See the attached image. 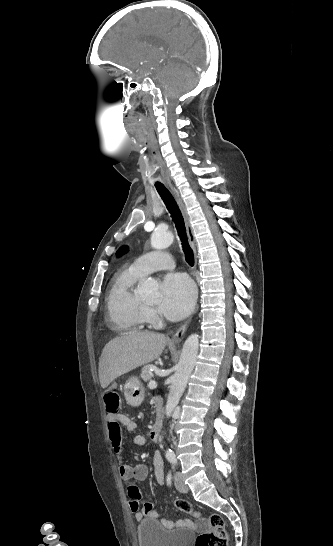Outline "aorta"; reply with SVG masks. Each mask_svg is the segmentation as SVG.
Listing matches in <instances>:
<instances>
[{"label":"aorta","mask_w":333,"mask_h":546,"mask_svg":"<svg viewBox=\"0 0 333 546\" xmlns=\"http://www.w3.org/2000/svg\"><path fill=\"white\" fill-rule=\"evenodd\" d=\"M174 236L168 230L156 229L151 236V245L154 249H165L173 242ZM146 289L149 295L157 297V286L154 279L146 280ZM199 347V338L197 334L190 335L182 348L180 360L176 366V371L172 376L170 392L166 403V416L170 417L177 407L179 400L187 386L189 377L194 369ZM167 450L166 453H170Z\"/></svg>","instance_id":"aorta-1"}]
</instances>
